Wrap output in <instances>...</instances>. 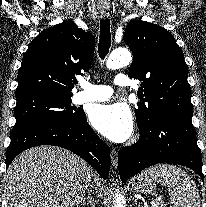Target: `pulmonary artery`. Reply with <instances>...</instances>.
<instances>
[{"label":"pulmonary artery","instance_id":"e3ab8cb5","mask_svg":"<svg viewBox=\"0 0 206 207\" xmlns=\"http://www.w3.org/2000/svg\"><path fill=\"white\" fill-rule=\"evenodd\" d=\"M114 83L117 86H127L129 85V80L126 75L118 74L114 78ZM82 90L77 92L72 100L76 104L103 101L110 98L113 94V89L107 85H94L88 82H83L81 84Z\"/></svg>","mask_w":206,"mask_h":207}]
</instances>
